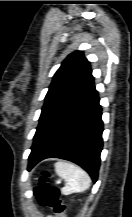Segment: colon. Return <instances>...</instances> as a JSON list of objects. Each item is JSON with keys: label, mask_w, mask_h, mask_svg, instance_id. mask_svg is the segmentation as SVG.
Returning <instances> with one entry per match:
<instances>
[{"label": "colon", "mask_w": 132, "mask_h": 217, "mask_svg": "<svg viewBox=\"0 0 132 217\" xmlns=\"http://www.w3.org/2000/svg\"><path fill=\"white\" fill-rule=\"evenodd\" d=\"M49 177L48 172L42 173L34 194L40 205L52 209L57 217H63L66 206L60 198V190L49 184Z\"/></svg>", "instance_id": "1"}]
</instances>
